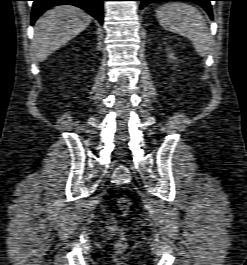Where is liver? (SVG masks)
I'll return each instance as SVG.
<instances>
[{
  "label": "liver",
  "instance_id": "obj_1",
  "mask_svg": "<svg viewBox=\"0 0 247 265\" xmlns=\"http://www.w3.org/2000/svg\"><path fill=\"white\" fill-rule=\"evenodd\" d=\"M91 23L83 10L71 6H56L46 11L35 23L32 55L44 61L65 43L79 35Z\"/></svg>",
  "mask_w": 247,
  "mask_h": 265
}]
</instances>
